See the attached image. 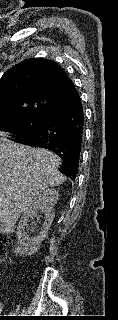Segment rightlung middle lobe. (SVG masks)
Segmentation results:
<instances>
[{
  "label": "right lung middle lobe",
  "instance_id": "right-lung-middle-lobe-1",
  "mask_svg": "<svg viewBox=\"0 0 118 320\" xmlns=\"http://www.w3.org/2000/svg\"><path fill=\"white\" fill-rule=\"evenodd\" d=\"M43 122L44 119L39 118L1 119L0 131L12 133L15 138L13 141H16L37 132Z\"/></svg>",
  "mask_w": 118,
  "mask_h": 320
}]
</instances>
